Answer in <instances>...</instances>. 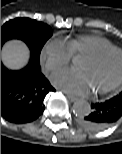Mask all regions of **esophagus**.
<instances>
[{
    "label": "esophagus",
    "mask_w": 122,
    "mask_h": 154,
    "mask_svg": "<svg viewBox=\"0 0 122 154\" xmlns=\"http://www.w3.org/2000/svg\"><path fill=\"white\" fill-rule=\"evenodd\" d=\"M67 98L69 99L70 102H75L77 101L78 99L72 95H69V94H66Z\"/></svg>",
    "instance_id": "34e87169"
}]
</instances>
